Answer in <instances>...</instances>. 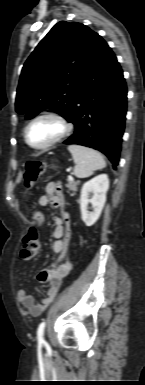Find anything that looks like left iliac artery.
<instances>
[{"mask_svg":"<svg viewBox=\"0 0 145 385\" xmlns=\"http://www.w3.org/2000/svg\"><path fill=\"white\" fill-rule=\"evenodd\" d=\"M44 331H45V322H41L37 330V339L39 344H44Z\"/></svg>","mask_w":145,"mask_h":385,"instance_id":"left-iliac-artery-1","label":"left iliac artery"}]
</instances>
